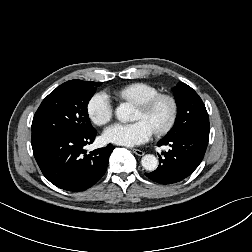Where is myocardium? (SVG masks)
<instances>
[{
  "instance_id": "myocardium-1",
  "label": "myocardium",
  "mask_w": 252,
  "mask_h": 252,
  "mask_svg": "<svg viewBox=\"0 0 252 252\" xmlns=\"http://www.w3.org/2000/svg\"><path fill=\"white\" fill-rule=\"evenodd\" d=\"M160 104L165 105L166 113L163 120L155 125L154 131L157 134H164L170 130L176 118L177 104L175 99L168 94H157L148 101L138 105V108L145 116H151Z\"/></svg>"
}]
</instances>
